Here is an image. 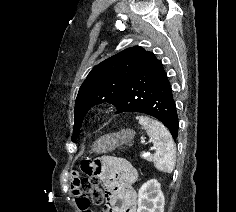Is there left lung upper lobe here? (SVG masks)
<instances>
[{"instance_id":"obj_1","label":"left lung upper lobe","mask_w":236,"mask_h":212,"mask_svg":"<svg viewBox=\"0 0 236 212\" xmlns=\"http://www.w3.org/2000/svg\"><path fill=\"white\" fill-rule=\"evenodd\" d=\"M146 52L140 46L127 48L99 63L90 71L77 95L72 141L75 142L79 136L83 117L93 105L116 102L131 82Z\"/></svg>"}]
</instances>
